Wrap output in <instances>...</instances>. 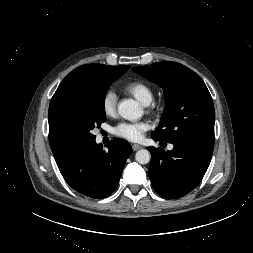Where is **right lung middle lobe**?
Returning <instances> with one entry per match:
<instances>
[{"mask_svg": "<svg viewBox=\"0 0 253 253\" xmlns=\"http://www.w3.org/2000/svg\"><path fill=\"white\" fill-rule=\"evenodd\" d=\"M117 77L102 78L94 90L63 96L53 109V124L61 139L69 146L95 140L92 134L105 120V96Z\"/></svg>", "mask_w": 253, "mask_h": 253, "instance_id": "dd1d6c3e", "label": "right lung middle lobe"}]
</instances>
